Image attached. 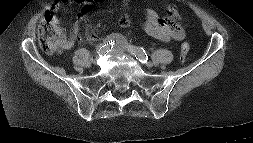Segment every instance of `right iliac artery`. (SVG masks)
<instances>
[{
  "instance_id": "obj_1",
  "label": "right iliac artery",
  "mask_w": 253,
  "mask_h": 143,
  "mask_svg": "<svg viewBox=\"0 0 253 143\" xmlns=\"http://www.w3.org/2000/svg\"><path fill=\"white\" fill-rule=\"evenodd\" d=\"M113 45H114V41H106V42H104L100 47H99V50H98V52L99 53H105V52H108V51H110V49H112L113 48Z\"/></svg>"
}]
</instances>
